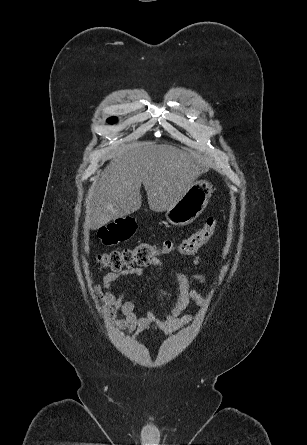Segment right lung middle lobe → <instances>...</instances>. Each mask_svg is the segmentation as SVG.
<instances>
[{
  "mask_svg": "<svg viewBox=\"0 0 307 445\" xmlns=\"http://www.w3.org/2000/svg\"><path fill=\"white\" fill-rule=\"evenodd\" d=\"M109 123H115L116 122V118L115 117H111L108 119Z\"/></svg>",
  "mask_w": 307,
  "mask_h": 445,
  "instance_id": "1",
  "label": "right lung middle lobe"
}]
</instances>
